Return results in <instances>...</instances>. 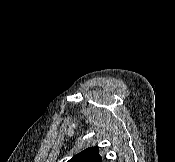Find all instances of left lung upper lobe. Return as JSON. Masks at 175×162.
Segmentation results:
<instances>
[{
  "instance_id": "obj_1",
  "label": "left lung upper lobe",
  "mask_w": 175,
  "mask_h": 162,
  "mask_svg": "<svg viewBox=\"0 0 175 162\" xmlns=\"http://www.w3.org/2000/svg\"><path fill=\"white\" fill-rule=\"evenodd\" d=\"M68 162H102L99 148L90 147L73 156Z\"/></svg>"
}]
</instances>
